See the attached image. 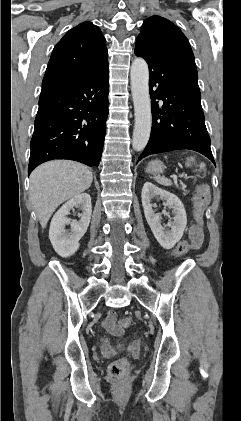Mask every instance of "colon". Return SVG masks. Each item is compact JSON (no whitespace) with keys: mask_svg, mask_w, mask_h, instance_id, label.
I'll return each instance as SVG.
<instances>
[{"mask_svg":"<svg viewBox=\"0 0 241 421\" xmlns=\"http://www.w3.org/2000/svg\"><path fill=\"white\" fill-rule=\"evenodd\" d=\"M210 201V192L209 188L206 185H202L198 188L197 194L195 197L194 204V219L198 224H201L203 221L205 210ZM190 249V243L187 240H183L178 243L173 252L174 258H180L185 255ZM119 324L123 327H127L130 324V320L127 317H122L119 319ZM127 361L124 358H120L112 362L109 366V373L112 377L122 378L127 370Z\"/></svg>","mask_w":241,"mask_h":421,"instance_id":"5ec220e1","label":"colon"}]
</instances>
